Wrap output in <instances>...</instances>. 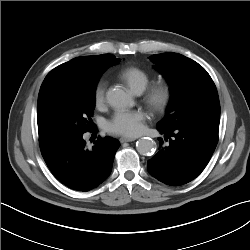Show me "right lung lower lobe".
Segmentation results:
<instances>
[{
	"instance_id": "right-lung-lower-lobe-1",
	"label": "right lung lower lobe",
	"mask_w": 250,
	"mask_h": 250,
	"mask_svg": "<svg viewBox=\"0 0 250 250\" xmlns=\"http://www.w3.org/2000/svg\"><path fill=\"white\" fill-rule=\"evenodd\" d=\"M120 142L106 136L89 148L83 133L40 140L42 156L53 175L73 190L89 191L110 175Z\"/></svg>"
}]
</instances>
